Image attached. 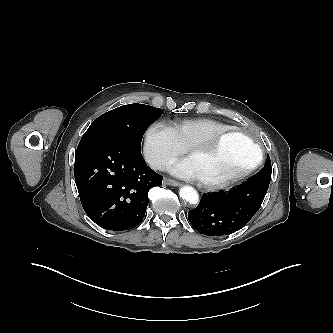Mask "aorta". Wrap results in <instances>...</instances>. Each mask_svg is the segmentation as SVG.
Wrapping results in <instances>:
<instances>
[{
	"instance_id": "1",
	"label": "aorta",
	"mask_w": 333,
	"mask_h": 333,
	"mask_svg": "<svg viewBox=\"0 0 333 333\" xmlns=\"http://www.w3.org/2000/svg\"><path fill=\"white\" fill-rule=\"evenodd\" d=\"M180 197L191 204H197L199 200V195L196 189L192 186H183L179 192Z\"/></svg>"
}]
</instances>
